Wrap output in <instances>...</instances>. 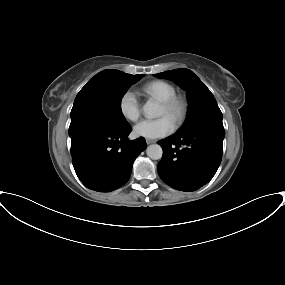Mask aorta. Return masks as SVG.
<instances>
[{"mask_svg":"<svg viewBox=\"0 0 285 285\" xmlns=\"http://www.w3.org/2000/svg\"><path fill=\"white\" fill-rule=\"evenodd\" d=\"M144 114L147 118H156L160 116V107L153 101H147L143 106ZM147 156L153 160L162 158L163 150L160 145L152 144L146 149Z\"/></svg>","mask_w":285,"mask_h":285,"instance_id":"762f6f07","label":"aorta"}]
</instances>
